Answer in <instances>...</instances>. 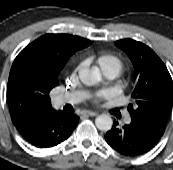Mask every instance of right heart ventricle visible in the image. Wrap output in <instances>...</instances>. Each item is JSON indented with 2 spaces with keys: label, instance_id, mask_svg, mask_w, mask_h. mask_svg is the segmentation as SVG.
Returning a JSON list of instances; mask_svg holds the SVG:
<instances>
[{
  "label": "right heart ventricle",
  "instance_id": "right-heart-ventricle-1",
  "mask_svg": "<svg viewBox=\"0 0 173 170\" xmlns=\"http://www.w3.org/2000/svg\"><path fill=\"white\" fill-rule=\"evenodd\" d=\"M98 63L101 66L112 67L116 71V73L122 70V63L118 59L112 57H101L98 60Z\"/></svg>",
  "mask_w": 173,
  "mask_h": 170
}]
</instances>
